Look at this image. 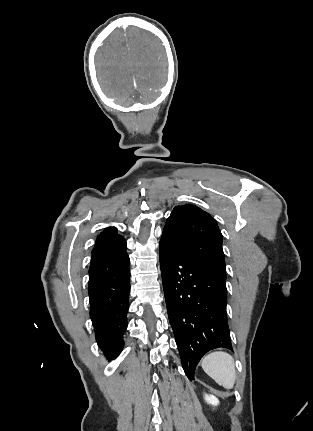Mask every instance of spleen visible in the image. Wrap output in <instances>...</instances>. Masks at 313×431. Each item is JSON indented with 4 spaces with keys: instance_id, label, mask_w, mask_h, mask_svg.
I'll return each instance as SVG.
<instances>
[{
    "instance_id": "3e777b00",
    "label": "spleen",
    "mask_w": 313,
    "mask_h": 431,
    "mask_svg": "<svg viewBox=\"0 0 313 431\" xmlns=\"http://www.w3.org/2000/svg\"><path fill=\"white\" fill-rule=\"evenodd\" d=\"M201 366L218 385L232 389L236 380L234 359L226 352L216 351L206 355Z\"/></svg>"
}]
</instances>
